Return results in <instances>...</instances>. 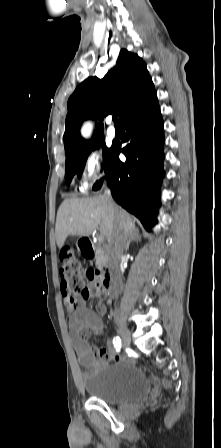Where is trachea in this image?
Masks as SVG:
<instances>
[{
	"label": "trachea",
	"mask_w": 221,
	"mask_h": 448,
	"mask_svg": "<svg viewBox=\"0 0 221 448\" xmlns=\"http://www.w3.org/2000/svg\"><path fill=\"white\" fill-rule=\"evenodd\" d=\"M112 119H113V122H114L115 126L120 125V124H119L118 114H117V113H114V114H113Z\"/></svg>",
	"instance_id": "3493384b"
}]
</instances>
